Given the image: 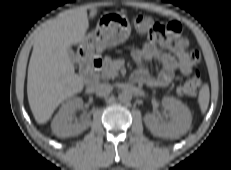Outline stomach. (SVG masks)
<instances>
[{
    "mask_svg": "<svg viewBox=\"0 0 231 170\" xmlns=\"http://www.w3.org/2000/svg\"><path fill=\"white\" fill-rule=\"evenodd\" d=\"M130 33V22L124 14L105 12L100 16L95 30L85 36L82 46L100 54L106 48L125 42Z\"/></svg>",
    "mask_w": 231,
    "mask_h": 170,
    "instance_id": "obj_1",
    "label": "stomach"
}]
</instances>
